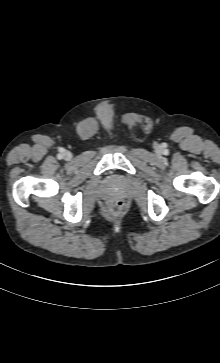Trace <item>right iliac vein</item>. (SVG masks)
Segmentation results:
<instances>
[{
    "mask_svg": "<svg viewBox=\"0 0 220 363\" xmlns=\"http://www.w3.org/2000/svg\"><path fill=\"white\" fill-rule=\"evenodd\" d=\"M63 157H64V159L69 160V159H71L72 154L69 151H64Z\"/></svg>",
    "mask_w": 220,
    "mask_h": 363,
    "instance_id": "63e3f726",
    "label": "right iliac vein"
}]
</instances>
